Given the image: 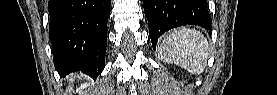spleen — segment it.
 Segmentation results:
<instances>
[{
  "mask_svg": "<svg viewBox=\"0 0 277 95\" xmlns=\"http://www.w3.org/2000/svg\"><path fill=\"white\" fill-rule=\"evenodd\" d=\"M158 52L162 61L174 63L193 74H201L206 67L209 45L202 33L184 27L164 38Z\"/></svg>",
  "mask_w": 277,
  "mask_h": 95,
  "instance_id": "obj_1",
  "label": "spleen"
}]
</instances>
